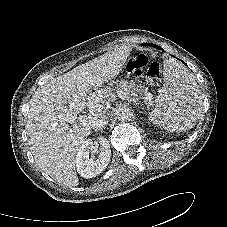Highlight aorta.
<instances>
[{
	"label": "aorta",
	"mask_w": 227,
	"mask_h": 227,
	"mask_svg": "<svg viewBox=\"0 0 227 227\" xmlns=\"http://www.w3.org/2000/svg\"><path fill=\"white\" fill-rule=\"evenodd\" d=\"M133 116V112L129 107H120L116 111V117L119 121H130Z\"/></svg>",
	"instance_id": "aorta-1"
}]
</instances>
